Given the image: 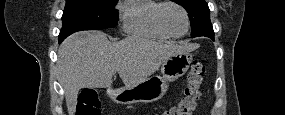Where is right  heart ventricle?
Instances as JSON below:
<instances>
[{
	"label": "right heart ventricle",
	"instance_id": "1",
	"mask_svg": "<svg viewBox=\"0 0 285 115\" xmlns=\"http://www.w3.org/2000/svg\"><path fill=\"white\" fill-rule=\"evenodd\" d=\"M161 2L132 0L122 9V28L128 35L167 40L168 36L158 25L156 13Z\"/></svg>",
	"mask_w": 285,
	"mask_h": 115
}]
</instances>
